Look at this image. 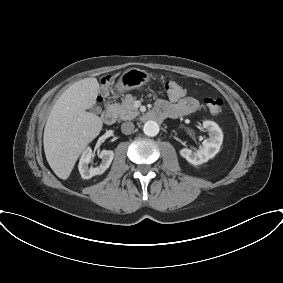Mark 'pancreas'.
Segmentation results:
<instances>
[{"label": "pancreas", "instance_id": "1", "mask_svg": "<svg viewBox=\"0 0 283 283\" xmlns=\"http://www.w3.org/2000/svg\"><path fill=\"white\" fill-rule=\"evenodd\" d=\"M112 108L122 120H131L139 115L138 109L134 106V97L131 95H127L121 104H113Z\"/></svg>", "mask_w": 283, "mask_h": 283}]
</instances>
